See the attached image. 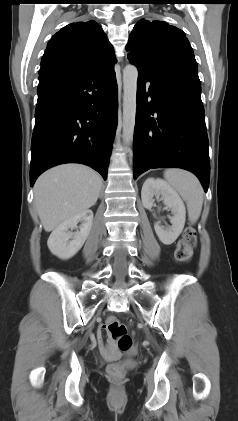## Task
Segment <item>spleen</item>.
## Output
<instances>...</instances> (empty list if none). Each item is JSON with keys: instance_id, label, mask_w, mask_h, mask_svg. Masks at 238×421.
Here are the masks:
<instances>
[{"instance_id": "obj_1", "label": "spleen", "mask_w": 238, "mask_h": 421, "mask_svg": "<svg viewBox=\"0 0 238 421\" xmlns=\"http://www.w3.org/2000/svg\"><path fill=\"white\" fill-rule=\"evenodd\" d=\"M164 178L186 202L189 220L195 223L203 206V188L197 177L186 170L169 168L165 170Z\"/></svg>"}]
</instances>
